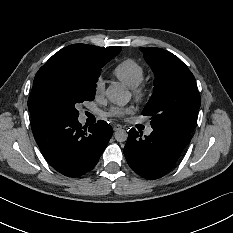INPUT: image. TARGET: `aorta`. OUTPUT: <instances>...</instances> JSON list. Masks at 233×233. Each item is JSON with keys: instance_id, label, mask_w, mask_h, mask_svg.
I'll return each mask as SVG.
<instances>
[{"instance_id": "obj_1", "label": "aorta", "mask_w": 233, "mask_h": 233, "mask_svg": "<svg viewBox=\"0 0 233 233\" xmlns=\"http://www.w3.org/2000/svg\"><path fill=\"white\" fill-rule=\"evenodd\" d=\"M106 97L113 104L125 106L131 99V93L122 84L113 82L106 90ZM114 137L118 142H124L128 134L124 129H120L114 133Z\"/></svg>"}]
</instances>
